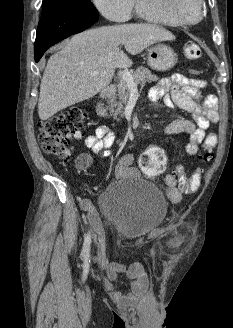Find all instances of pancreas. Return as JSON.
I'll return each instance as SVG.
<instances>
[{"mask_svg": "<svg viewBox=\"0 0 233 328\" xmlns=\"http://www.w3.org/2000/svg\"><path fill=\"white\" fill-rule=\"evenodd\" d=\"M133 81L143 86L145 83H152L158 80V76L151 73L146 67H138L131 72ZM118 94L110 95L108 98V109L117 120L119 115L122 116L124 105L128 102L130 97V89L127 83L121 78L117 84Z\"/></svg>", "mask_w": 233, "mask_h": 328, "instance_id": "1", "label": "pancreas"}]
</instances>
